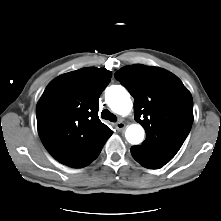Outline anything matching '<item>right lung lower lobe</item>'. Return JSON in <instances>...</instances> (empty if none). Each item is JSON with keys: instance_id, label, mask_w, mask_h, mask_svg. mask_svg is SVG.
I'll use <instances>...</instances> for the list:
<instances>
[{"instance_id": "98d812e1", "label": "right lung lower lobe", "mask_w": 221, "mask_h": 221, "mask_svg": "<svg viewBox=\"0 0 221 221\" xmlns=\"http://www.w3.org/2000/svg\"><path fill=\"white\" fill-rule=\"evenodd\" d=\"M113 131L108 134L105 138H103L100 142H98L95 146H93L88 152H86L81 158L72 162L68 166L73 168H82L90 164L93 160H95L100 154L103 145L107 141V139L111 136Z\"/></svg>"}]
</instances>
